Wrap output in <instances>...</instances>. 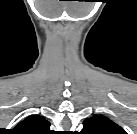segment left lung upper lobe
I'll list each match as a JSON object with an SVG mask.
<instances>
[{
	"mask_svg": "<svg viewBox=\"0 0 137 134\" xmlns=\"http://www.w3.org/2000/svg\"><path fill=\"white\" fill-rule=\"evenodd\" d=\"M83 125L82 134H126L123 128L103 115H93Z\"/></svg>",
	"mask_w": 137,
	"mask_h": 134,
	"instance_id": "obj_1",
	"label": "left lung upper lobe"
}]
</instances>
